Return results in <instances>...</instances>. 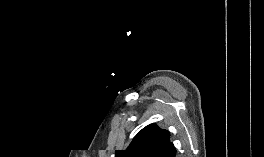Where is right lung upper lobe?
<instances>
[{
    "label": "right lung upper lobe",
    "instance_id": "obj_1",
    "mask_svg": "<svg viewBox=\"0 0 264 157\" xmlns=\"http://www.w3.org/2000/svg\"><path fill=\"white\" fill-rule=\"evenodd\" d=\"M170 133L150 124L142 129L126 150H117L115 157H176Z\"/></svg>",
    "mask_w": 264,
    "mask_h": 157
}]
</instances>
